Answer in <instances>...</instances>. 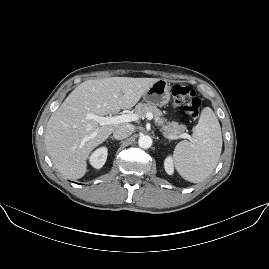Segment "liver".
Wrapping results in <instances>:
<instances>
[{
  "instance_id": "obj_1",
  "label": "liver",
  "mask_w": 269,
  "mask_h": 269,
  "mask_svg": "<svg viewBox=\"0 0 269 269\" xmlns=\"http://www.w3.org/2000/svg\"><path fill=\"white\" fill-rule=\"evenodd\" d=\"M158 78L108 77L77 86L47 122L45 145L61 174L79 179L87 171L90 152L122 124L100 125L86 119L131 109Z\"/></svg>"
}]
</instances>
